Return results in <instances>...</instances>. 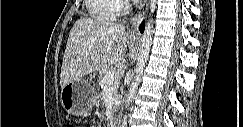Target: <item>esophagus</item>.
I'll return each mask as SVG.
<instances>
[{
  "mask_svg": "<svg viewBox=\"0 0 243 127\" xmlns=\"http://www.w3.org/2000/svg\"><path fill=\"white\" fill-rule=\"evenodd\" d=\"M149 5L150 0H144L143 3L140 5L138 14L136 15L132 23V31H136L138 29V26L140 25V23L142 22V20L148 12Z\"/></svg>",
  "mask_w": 243,
  "mask_h": 127,
  "instance_id": "1",
  "label": "esophagus"
}]
</instances>
